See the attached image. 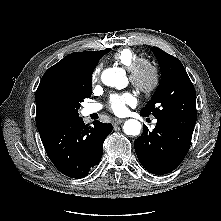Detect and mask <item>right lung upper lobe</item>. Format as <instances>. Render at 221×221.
<instances>
[{"label": "right lung upper lobe", "mask_w": 221, "mask_h": 221, "mask_svg": "<svg viewBox=\"0 0 221 221\" xmlns=\"http://www.w3.org/2000/svg\"><path fill=\"white\" fill-rule=\"evenodd\" d=\"M109 51L110 48L102 51L75 52L67 55L45 72L35 96L36 125L39 133L66 123L45 112L42 97L46 90L55 84H75L88 77L93 73L97 62Z\"/></svg>", "instance_id": "obj_1"}]
</instances>
